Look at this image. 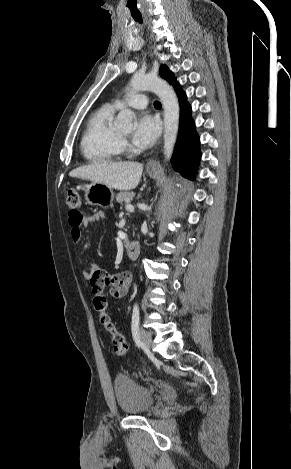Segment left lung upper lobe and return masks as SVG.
Listing matches in <instances>:
<instances>
[{
  "mask_svg": "<svg viewBox=\"0 0 291 469\" xmlns=\"http://www.w3.org/2000/svg\"><path fill=\"white\" fill-rule=\"evenodd\" d=\"M160 76L167 80L170 84H172L176 79L174 77V74L169 70V68L165 65H162L160 67Z\"/></svg>",
  "mask_w": 291,
  "mask_h": 469,
  "instance_id": "left-lung-upper-lobe-1",
  "label": "left lung upper lobe"
}]
</instances>
